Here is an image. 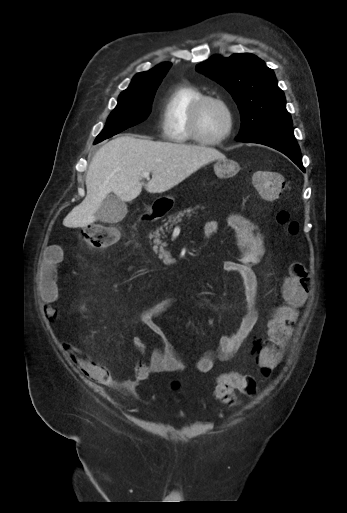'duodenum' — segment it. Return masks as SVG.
Returning a JSON list of instances; mask_svg holds the SVG:
<instances>
[{"label": "duodenum", "instance_id": "duodenum-1", "mask_svg": "<svg viewBox=\"0 0 347 513\" xmlns=\"http://www.w3.org/2000/svg\"><path fill=\"white\" fill-rule=\"evenodd\" d=\"M166 210L167 207L164 203L161 201H156L153 203L151 208L141 216L140 220L142 223H149L159 216H162Z\"/></svg>", "mask_w": 347, "mask_h": 513}]
</instances>
